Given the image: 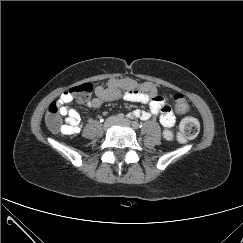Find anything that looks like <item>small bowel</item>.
I'll use <instances>...</instances> for the list:
<instances>
[{"label": "small bowel", "mask_w": 243, "mask_h": 243, "mask_svg": "<svg viewBox=\"0 0 243 243\" xmlns=\"http://www.w3.org/2000/svg\"><path fill=\"white\" fill-rule=\"evenodd\" d=\"M123 99L128 102L148 104L149 111L134 110L129 113L131 118L148 120L159 115L160 123L164 128H171L175 124V116L168 104V97L158 92L156 86L150 82H139L131 78H111L105 86H98L95 97L88 101L78 100L91 108L99 107L103 102ZM74 96L66 91L56 100L60 103V114L64 116L61 132L65 135H75L81 131L80 115L68 105Z\"/></svg>", "instance_id": "small-bowel-1"}]
</instances>
